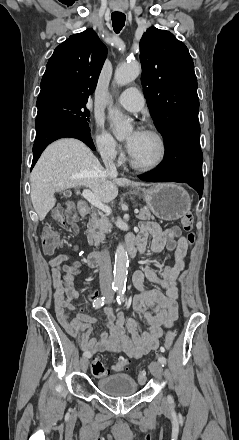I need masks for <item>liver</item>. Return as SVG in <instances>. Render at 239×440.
I'll return each mask as SVG.
<instances>
[{"label":"liver","instance_id":"liver-1","mask_svg":"<svg viewBox=\"0 0 239 440\" xmlns=\"http://www.w3.org/2000/svg\"><path fill=\"white\" fill-rule=\"evenodd\" d=\"M30 182L31 202L39 220H44L54 208L55 192L67 188L85 186L100 202L108 204L117 198V186H151L108 174L93 152L73 138L57 140L44 150L31 172Z\"/></svg>","mask_w":239,"mask_h":440}]
</instances>
